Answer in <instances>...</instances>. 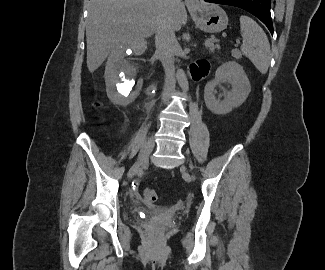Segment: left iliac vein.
<instances>
[{
  "label": "left iliac vein",
  "mask_w": 325,
  "mask_h": 270,
  "mask_svg": "<svg viewBox=\"0 0 325 270\" xmlns=\"http://www.w3.org/2000/svg\"><path fill=\"white\" fill-rule=\"evenodd\" d=\"M189 166H190V169H192V168H193V166H192V164H191V163H190V165H189Z\"/></svg>",
  "instance_id": "obj_1"
}]
</instances>
